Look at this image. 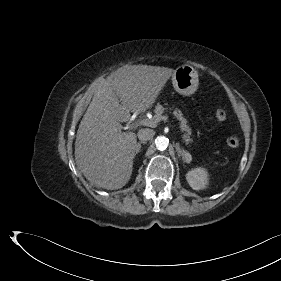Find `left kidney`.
<instances>
[{"instance_id":"left-kidney-1","label":"left kidney","mask_w":281,"mask_h":281,"mask_svg":"<svg viewBox=\"0 0 281 281\" xmlns=\"http://www.w3.org/2000/svg\"><path fill=\"white\" fill-rule=\"evenodd\" d=\"M186 179L192 189L202 190L208 185V172L201 167L194 168L186 174Z\"/></svg>"}]
</instances>
